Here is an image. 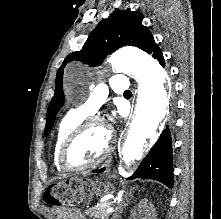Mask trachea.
I'll list each match as a JSON object with an SVG mask.
<instances>
[{"label": "trachea", "instance_id": "1", "mask_svg": "<svg viewBox=\"0 0 221 219\" xmlns=\"http://www.w3.org/2000/svg\"><path fill=\"white\" fill-rule=\"evenodd\" d=\"M126 95H132L131 91H127Z\"/></svg>", "mask_w": 221, "mask_h": 219}]
</instances>
